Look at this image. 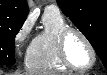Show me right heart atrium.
Instances as JSON below:
<instances>
[{
  "label": "right heart atrium",
  "mask_w": 107,
  "mask_h": 75,
  "mask_svg": "<svg viewBox=\"0 0 107 75\" xmlns=\"http://www.w3.org/2000/svg\"><path fill=\"white\" fill-rule=\"evenodd\" d=\"M31 32V23L29 20H26L22 23L19 29L16 31L13 39L14 51L17 56L22 55L23 49L26 47Z\"/></svg>",
  "instance_id": "d8ad5b80"
}]
</instances>
